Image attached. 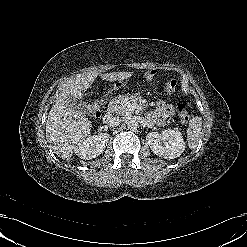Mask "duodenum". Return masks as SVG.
<instances>
[{
  "label": "duodenum",
  "instance_id": "1",
  "mask_svg": "<svg viewBox=\"0 0 247 247\" xmlns=\"http://www.w3.org/2000/svg\"><path fill=\"white\" fill-rule=\"evenodd\" d=\"M113 115V110H109L105 115V121H109L111 116Z\"/></svg>",
  "mask_w": 247,
  "mask_h": 247
}]
</instances>
